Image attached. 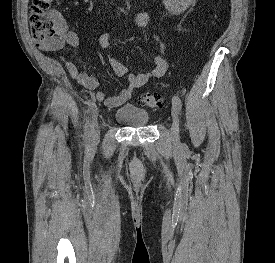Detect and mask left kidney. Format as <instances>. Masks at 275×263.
Wrapping results in <instances>:
<instances>
[{
    "label": "left kidney",
    "instance_id": "5707ae66",
    "mask_svg": "<svg viewBox=\"0 0 275 263\" xmlns=\"http://www.w3.org/2000/svg\"><path fill=\"white\" fill-rule=\"evenodd\" d=\"M166 9L172 14L184 12L195 0H163Z\"/></svg>",
    "mask_w": 275,
    "mask_h": 263
}]
</instances>
